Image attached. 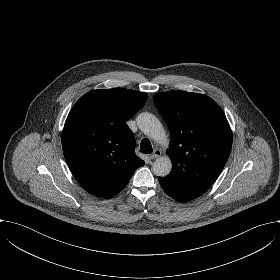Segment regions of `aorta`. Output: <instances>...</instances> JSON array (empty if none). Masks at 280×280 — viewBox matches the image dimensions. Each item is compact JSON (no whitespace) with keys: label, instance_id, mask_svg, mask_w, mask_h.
<instances>
[{"label":"aorta","instance_id":"1","mask_svg":"<svg viewBox=\"0 0 280 280\" xmlns=\"http://www.w3.org/2000/svg\"><path fill=\"white\" fill-rule=\"evenodd\" d=\"M136 121L139 129L149 138L161 143L167 141L163 125L154 114L142 112L137 116ZM171 169V160L166 156L158 157L152 165L153 173L160 177L167 176Z\"/></svg>","mask_w":280,"mask_h":280}]
</instances>
